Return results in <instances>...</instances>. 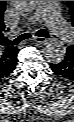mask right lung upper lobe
<instances>
[{
    "instance_id": "right-lung-upper-lobe-1",
    "label": "right lung upper lobe",
    "mask_w": 74,
    "mask_h": 122,
    "mask_svg": "<svg viewBox=\"0 0 74 122\" xmlns=\"http://www.w3.org/2000/svg\"><path fill=\"white\" fill-rule=\"evenodd\" d=\"M6 1H0V75L7 73L17 60L18 49L13 46H5V25L3 22V13L5 11Z\"/></svg>"
}]
</instances>
